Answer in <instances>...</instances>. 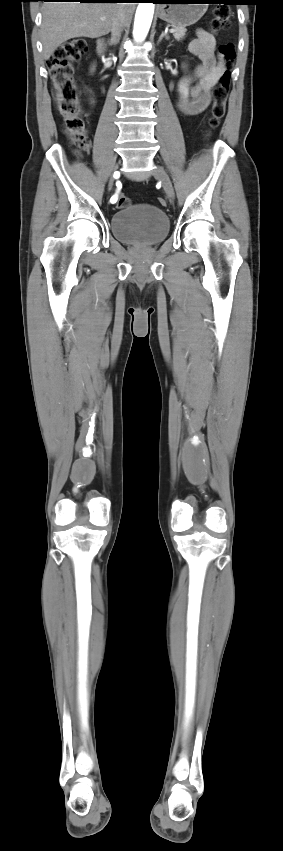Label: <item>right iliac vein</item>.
<instances>
[{
	"label": "right iliac vein",
	"mask_w": 283,
	"mask_h": 851,
	"mask_svg": "<svg viewBox=\"0 0 283 851\" xmlns=\"http://www.w3.org/2000/svg\"><path fill=\"white\" fill-rule=\"evenodd\" d=\"M113 183H114V178L112 177V178H110V180H109V184H108L109 189H111V188H112Z\"/></svg>",
	"instance_id": "obj_1"
}]
</instances>
